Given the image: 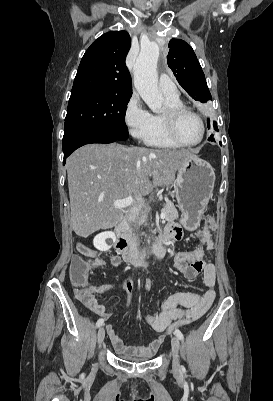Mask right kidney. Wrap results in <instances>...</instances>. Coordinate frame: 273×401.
I'll list each match as a JSON object with an SVG mask.
<instances>
[{"label":"right kidney","mask_w":273,"mask_h":401,"mask_svg":"<svg viewBox=\"0 0 273 401\" xmlns=\"http://www.w3.org/2000/svg\"><path fill=\"white\" fill-rule=\"evenodd\" d=\"M115 233L111 231H105V233H99L93 239V245L98 251H109L115 241Z\"/></svg>","instance_id":"obj_1"}]
</instances>
